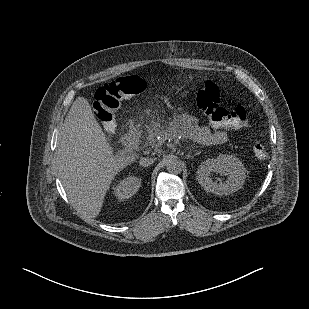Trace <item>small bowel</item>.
I'll list each match as a JSON object with an SVG mask.
<instances>
[{
    "label": "small bowel",
    "instance_id": "c3829d8e",
    "mask_svg": "<svg viewBox=\"0 0 309 309\" xmlns=\"http://www.w3.org/2000/svg\"><path fill=\"white\" fill-rule=\"evenodd\" d=\"M184 126L189 137L198 143L218 145L228 140V130L224 127H214L200 125L193 116H188L184 120Z\"/></svg>",
    "mask_w": 309,
    "mask_h": 309
}]
</instances>
